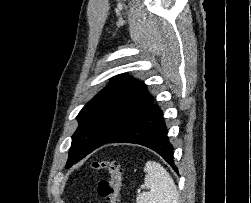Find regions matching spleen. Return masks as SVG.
<instances>
[{"label":"spleen","instance_id":"3e777b00","mask_svg":"<svg viewBox=\"0 0 251 203\" xmlns=\"http://www.w3.org/2000/svg\"><path fill=\"white\" fill-rule=\"evenodd\" d=\"M144 172L146 176L141 188L148 191L137 196V203H179L174 180L161 164L148 161Z\"/></svg>","mask_w":251,"mask_h":203}]
</instances>
